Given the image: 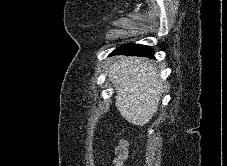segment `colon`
<instances>
[{
  "instance_id": "obj_1",
  "label": "colon",
  "mask_w": 227,
  "mask_h": 166,
  "mask_svg": "<svg viewBox=\"0 0 227 166\" xmlns=\"http://www.w3.org/2000/svg\"><path fill=\"white\" fill-rule=\"evenodd\" d=\"M129 151L125 140H121L116 149L115 166H124L128 162Z\"/></svg>"
}]
</instances>
